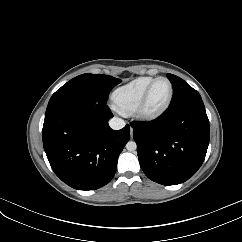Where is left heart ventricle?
<instances>
[{
    "label": "left heart ventricle",
    "mask_w": 242,
    "mask_h": 242,
    "mask_svg": "<svg viewBox=\"0 0 242 242\" xmlns=\"http://www.w3.org/2000/svg\"><path fill=\"white\" fill-rule=\"evenodd\" d=\"M169 84L165 80L158 81L149 96L148 106L155 108L163 104L169 95Z\"/></svg>",
    "instance_id": "obj_1"
}]
</instances>
